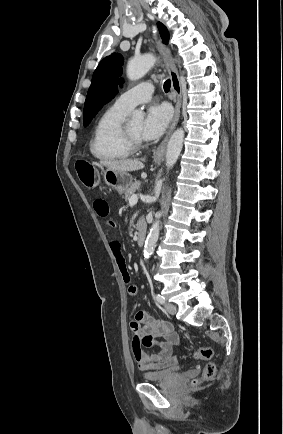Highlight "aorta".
<instances>
[{
    "label": "aorta",
    "mask_w": 283,
    "mask_h": 434,
    "mask_svg": "<svg viewBox=\"0 0 283 434\" xmlns=\"http://www.w3.org/2000/svg\"><path fill=\"white\" fill-rule=\"evenodd\" d=\"M156 58L152 55H143L138 58L129 60L127 64V77L131 81H136L142 78L155 64ZM144 118V113L140 110L133 112L132 120L141 121ZM184 130L177 129L170 137L166 151V167L171 169L176 163L183 147ZM161 213L158 212L156 220L153 222L147 239L144 245V257L148 259L154 252L156 242L159 238Z\"/></svg>",
    "instance_id": "obj_1"
}]
</instances>
